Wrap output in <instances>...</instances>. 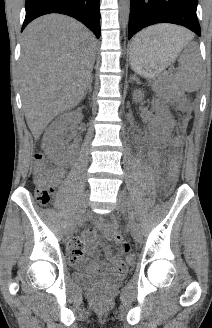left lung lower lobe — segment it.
Masks as SVG:
<instances>
[{
    "mask_svg": "<svg viewBox=\"0 0 212 328\" xmlns=\"http://www.w3.org/2000/svg\"><path fill=\"white\" fill-rule=\"evenodd\" d=\"M197 0H130L128 39L157 23L182 25L201 35L196 15ZM142 44H134L135 48Z\"/></svg>",
    "mask_w": 212,
    "mask_h": 328,
    "instance_id": "0a47b994",
    "label": "left lung lower lobe"
}]
</instances>
